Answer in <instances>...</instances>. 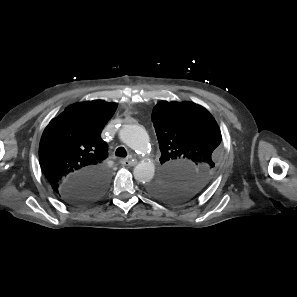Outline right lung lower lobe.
<instances>
[{
  "mask_svg": "<svg viewBox=\"0 0 297 297\" xmlns=\"http://www.w3.org/2000/svg\"><path fill=\"white\" fill-rule=\"evenodd\" d=\"M109 184V173L95 169L76 174L61 189L60 197L73 205H86L99 199Z\"/></svg>",
  "mask_w": 297,
  "mask_h": 297,
  "instance_id": "right-lung-lower-lobe-1",
  "label": "right lung lower lobe"
}]
</instances>
